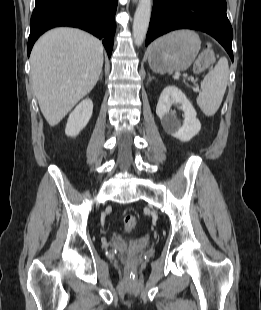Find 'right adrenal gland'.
Masks as SVG:
<instances>
[{
    "mask_svg": "<svg viewBox=\"0 0 261 310\" xmlns=\"http://www.w3.org/2000/svg\"><path fill=\"white\" fill-rule=\"evenodd\" d=\"M102 77H103V72H101V75H100V79L102 80Z\"/></svg>",
    "mask_w": 261,
    "mask_h": 310,
    "instance_id": "obj_1",
    "label": "right adrenal gland"
}]
</instances>
